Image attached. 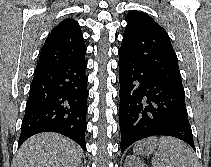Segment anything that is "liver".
<instances>
[{"instance_id": "obj_1", "label": "liver", "mask_w": 211, "mask_h": 167, "mask_svg": "<svg viewBox=\"0 0 211 167\" xmlns=\"http://www.w3.org/2000/svg\"><path fill=\"white\" fill-rule=\"evenodd\" d=\"M83 150L67 137L41 133L30 137L19 148L14 167H78Z\"/></svg>"}]
</instances>
